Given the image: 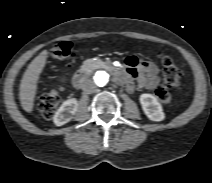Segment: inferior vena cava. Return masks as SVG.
Returning <instances> with one entry per match:
<instances>
[{
	"label": "inferior vena cava",
	"instance_id": "1",
	"mask_svg": "<svg viewBox=\"0 0 212 183\" xmlns=\"http://www.w3.org/2000/svg\"><path fill=\"white\" fill-rule=\"evenodd\" d=\"M97 89V86L91 82V81H88L84 86H83V91L87 94H91V93H94Z\"/></svg>",
	"mask_w": 212,
	"mask_h": 183
}]
</instances>
